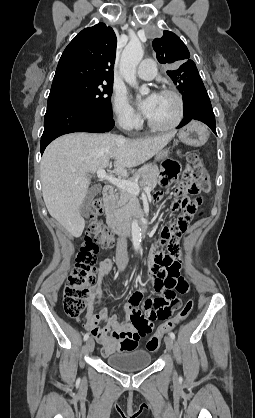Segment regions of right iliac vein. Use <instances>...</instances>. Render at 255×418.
Returning <instances> with one entry per match:
<instances>
[{"label": "right iliac vein", "mask_w": 255, "mask_h": 418, "mask_svg": "<svg viewBox=\"0 0 255 418\" xmlns=\"http://www.w3.org/2000/svg\"><path fill=\"white\" fill-rule=\"evenodd\" d=\"M94 346H95L94 340L92 338L87 339V341H86V351L88 353L93 352Z\"/></svg>", "instance_id": "right-iliac-vein-1"}]
</instances>
